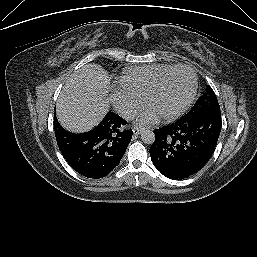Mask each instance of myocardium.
Wrapping results in <instances>:
<instances>
[{
  "mask_svg": "<svg viewBox=\"0 0 257 257\" xmlns=\"http://www.w3.org/2000/svg\"><path fill=\"white\" fill-rule=\"evenodd\" d=\"M187 70L190 72L191 76H192V84H191V88L190 91L186 97V99L183 101V103L176 108L175 110H173L172 112L166 113V114H162L160 115V117L164 120H171L174 119L175 117L179 116L180 114H182L192 103L196 91H197V86H198V79H197V74L195 72V70L185 64H179V65H175L172 66L171 68H169L168 70H166L164 73H162L156 80L155 82L152 84V86L150 87V89L148 90L146 97H145V104L146 106H149L150 101L152 99V97L155 95V93L159 90L160 86L162 85L163 81L173 72L177 71V70Z\"/></svg>",
  "mask_w": 257,
  "mask_h": 257,
  "instance_id": "f54148a6",
  "label": "myocardium"
}]
</instances>
